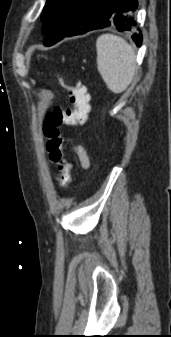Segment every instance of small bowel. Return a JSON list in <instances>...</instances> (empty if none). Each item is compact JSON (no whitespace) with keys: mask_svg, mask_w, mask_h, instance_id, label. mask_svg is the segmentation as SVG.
Here are the masks:
<instances>
[{"mask_svg":"<svg viewBox=\"0 0 171 337\" xmlns=\"http://www.w3.org/2000/svg\"><path fill=\"white\" fill-rule=\"evenodd\" d=\"M70 149L76 155L80 166L83 169H87L90 166V160L85 148L81 145H72Z\"/></svg>","mask_w":171,"mask_h":337,"instance_id":"small-bowel-1","label":"small bowel"}]
</instances>
